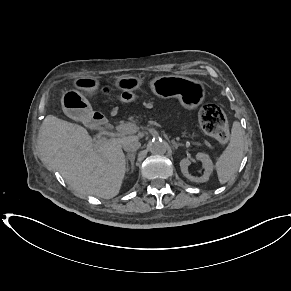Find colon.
<instances>
[{"label": "colon", "instance_id": "1", "mask_svg": "<svg viewBox=\"0 0 291 291\" xmlns=\"http://www.w3.org/2000/svg\"><path fill=\"white\" fill-rule=\"evenodd\" d=\"M108 92L107 89H104ZM122 99L129 101L132 95L127 93ZM199 121L202 129L209 135L217 138L221 143H226L229 139L228 120L225 112L214 103L204 104L199 112Z\"/></svg>", "mask_w": 291, "mask_h": 291}]
</instances>
